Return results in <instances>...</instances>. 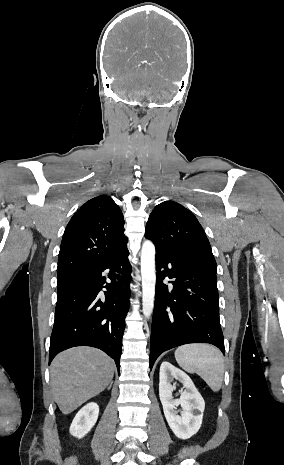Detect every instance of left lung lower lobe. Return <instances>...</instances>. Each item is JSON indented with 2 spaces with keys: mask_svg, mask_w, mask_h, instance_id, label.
Returning a JSON list of instances; mask_svg holds the SVG:
<instances>
[{
  "mask_svg": "<svg viewBox=\"0 0 284 465\" xmlns=\"http://www.w3.org/2000/svg\"><path fill=\"white\" fill-rule=\"evenodd\" d=\"M156 265L150 369L161 353L183 344L210 343L225 354L216 274L159 250ZM165 278L173 279V287L162 282Z\"/></svg>",
  "mask_w": 284,
  "mask_h": 465,
  "instance_id": "left-lung-lower-lobe-1",
  "label": "left lung lower lobe"
}]
</instances>
